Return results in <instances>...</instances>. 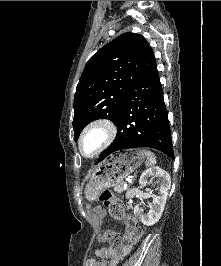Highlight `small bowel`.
Returning a JSON list of instances; mask_svg holds the SVG:
<instances>
[{"mask_svg": "<svg viewBox=\"0 0 221 266\" xmlns=\"http://www.w3.org/2000/svg\"><path fill=\"white\" fill-rule=\"evenodd\" d=\"M98 213H102L100 207H96ZM132 243H124L117 247H101L95 252V257L87 260L85 266H116L119 261L132 250Z\"/></svg>", "mask_w": 221, "mask_h": 266, "instance_id": "small-bowel-1", "label": "small bowel"}]
</instances>
